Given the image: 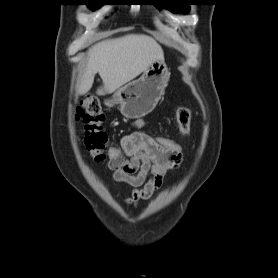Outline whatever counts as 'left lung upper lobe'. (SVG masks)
I'll list each match as a JSON object with an SVG mask.
<instances>
[{
	"label": "left lung upper lobe",
	"instance_id": "obj_1",
	"mask_svg": "<svg viewBox=\"0 0 278 278\" xmlns=\"http://www.w3.org/2000/svg\"><path fill=\"white\" fill-rule=\"evenodd\" d=\"M160 7H167L172 12H184L189 11V4L185 3L184 0H158V3L155 4Z\"/></svg>",
	"mask_w": 278,
	"mask_h": 278
}]
</instances>
